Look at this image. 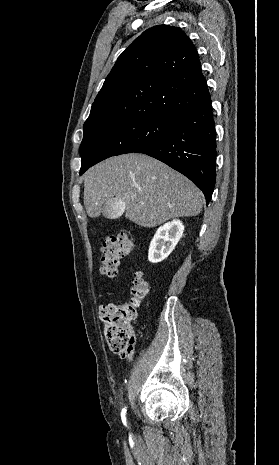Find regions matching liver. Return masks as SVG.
Wrapping results in <instances>:
<instances>
[{"mask_svg":"<svg viewBox=\"0 0 279 465\" xmlns=\"http://www.w3.org/2000/svg\"><path fill=\"white\" fill-rule=\"evenodd\" d=\"M125 202V217L152 228L178 217L198 215L201 191L184 175L144 154H124L90 168L84 177V206L89 217L100 216L113 198Z\"/></svg>","mask_w":279,"mask_h":465,"instance_id":"1","label":"liver"}]
</instances>
